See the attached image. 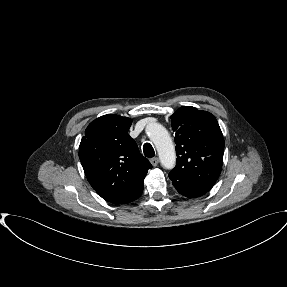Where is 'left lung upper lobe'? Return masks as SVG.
Instances as JSON below:
<instances>
[{"label":"left lung upper lobe","instance_id":"5c2ea615","mask_svg":"<svg viewBox=\"0 0 287 287\" xmlns=\"http://www.w3.org/2000/svg\"><path fill=\"white\" fill-rule=\"evenodd\" d=\"M177 162L168 174L176 190L189 198L207 193L218 179L224 139L216 118L207 111L183 106L171 117Z\"/></svg>","mask_w":287,"mask_h":287}]
</instances>
